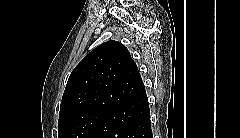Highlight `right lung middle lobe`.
Listing matches in <instances>:
<instances>
[{
	"mask_svg": "<svg viewBox=\"0 0 240 138\" xmlns=\"http://www.w3.org/2000/svg\"><path fill=\"white\" fill-rule=\"evenodd\" d=\"M107 114L105 111L85 110L58 120L59 138H86L93 127Z\"/></svg>",
	"mask_w": 240,
	"mask_h": 138,
	"instance_id": "1",
	"label": "right lung middle lobe"
}]
</instances>
